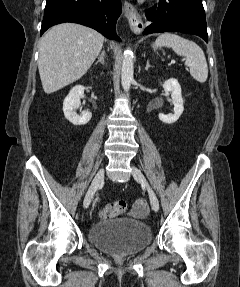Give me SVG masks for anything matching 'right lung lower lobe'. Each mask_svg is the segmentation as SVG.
Segmentation results:
<instances>
[{
  "instance_id": "obj_1",
  "label": "right lung lower lobe",
  "mask_w": 240,
  "mask_h": 287,
  "mask_svg": "<svg viewBox=\"0 0 240 287\" xmlns=\"http://www.w3.org/2000/svg\"><path fill=\"white\" fill-rule=\"evenodd\" d=\"M122 11L120 0H47L41 35L51 26L73 22L91 27L105 37L121 41L116 22Z\"/></svg>"
}]
</instances>
